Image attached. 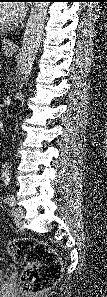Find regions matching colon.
<instances>
[{"label":"colon","mask_w":107,"mask_h":297,"mask_svg":"<svg viewBox=\"0 0 107 297\" xmlns=\"http://www.w3.org/2000/svg\"><path fill=\"white\" fill-rule=\"evenodd\" d=\"M14 261L24 268L21 289L26 297H37L58 280L62 266L56 253L45 243L17 239L9 244Z\"/></svg>","instance_id":"5ec220e1"}]
</instances>
